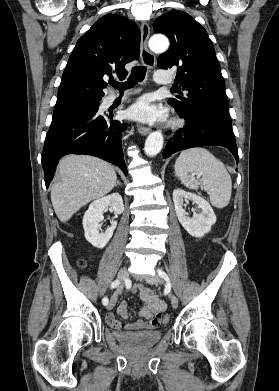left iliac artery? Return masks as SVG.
<instances>
[{
  "label": "left iliac artery",
  "mask_w": 279,
  "mask_h": 391,
  "mask_svg": "<svg viewBox=\"0 0 279 391\" xmlns=\"http://www.w3.org/2000/svg\"><path fill=\"white\" fill-rule=\"evenodd\" d=\"M158 274H159L162 278H164L165 280H169L167 274H166L165 272H163L162 270H159V271H158Z\"/></svg>",
  "instance_id": "44dca946"
}]
</instances>
